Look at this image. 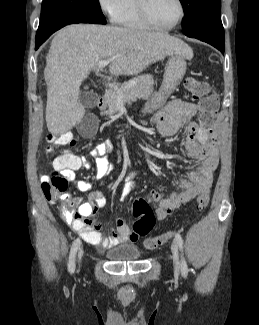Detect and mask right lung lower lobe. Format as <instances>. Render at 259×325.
I'll return each instance as SVG.
<instances>
[{"mask_svg":"<svg viewBox=\"0 0 259 325\" xmlns=\"http://www.w3.org/2000/svg\"><path fill=\"white\" fill-rule=\"evenodd\" d=\"M64 26H66V25L64 24V25H60L58 27H55L54 29H52V30L48 31L47 33H45L44 35H42L41 37L36 38V40H35V43H36L35 50H37L39 48V46L42 43H44L51 34H53L55 31L59 30L60 28H62Z\"/></svg>","mask_w":259,"mask_h":325,"instance_id":"right-lung-lower-lobe-1","label":"right lung lower lobe"}]
</instances>
